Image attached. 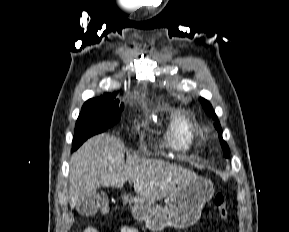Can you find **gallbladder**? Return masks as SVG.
I'll return each instance as SVG.
<instances>
[{
  "instance_id": "obj_1",
  "label": "gallbladder",
  "mask_w": 289,
  "mask_h": 232,
  "mask_svg": "<svg viewBox=\"0 0 289 232\" xmlns=\"http://www.w3.org/2000/svg\"><path fill=\"white\" fill-rule=\"evenodd\" d=\"M101 201L100 195L96 192L89 195H81L76 209L83 216H92L97 213Z\"/></svg>"
}]
</instances>
